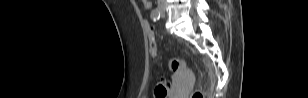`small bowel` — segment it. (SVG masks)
I'll use <instances>...</instances> for the list:
<instances>
[{"label": "small bowel", "mask_w": 308, "mask_h": 98, "mask_svg": "<svg viewBox=\"0 0 308 98\" xmlns=\"http://www.w3.org/2000/svg\"><path fill=\"white\" fill-rule=\"evenodd\" d=\"M143 5H144V7H145L146 9H149V8H151L152 3H151V1H149V0H143Z\"/></svg>", "instance_id": "c3829d8e"}]
</instances>
